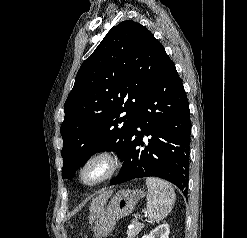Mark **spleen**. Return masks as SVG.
I'll return each instance as SVG.
<instances>
[{
    "mask_svg": "<svg viewBox=\"0 0 247 238\" xmlns=\"http://www.w3.org/2000/svg\"><path fill=\"white\" fill-rule=\"evenodd\" d=\"M147 215L151 223L163 220L172 210L176 196L172 186L159 178H146Z\"/></svg>",
    "mask_w": 247,
    "mask_h": 238,
    "instance_id": "obj_1",
    "label": "spleen"
}]
</instances>
